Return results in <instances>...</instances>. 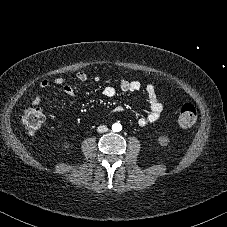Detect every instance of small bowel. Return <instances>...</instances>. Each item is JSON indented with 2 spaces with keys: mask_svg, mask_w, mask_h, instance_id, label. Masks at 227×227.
<instances>
[{
  "mask_svg": "<svg viewBox=\"0 0 227 227\" xmlns=\"http://www.w3.org/2000/svg\"><path fill=\"white\" fill-rule=\"evenodd\" d=\"M77 79L80 82H86L88 80V75L84 72H80L77 75ZM95 81H98V77H95ZM51 84L58 86V90L62 94L72 99H76L77 97L76 89L71 85L66 84L63 78L59 77V78H54L53 80L44 79L40 82V86L42 88H47ZM142 89L146 92L148 96V101L150 104L149 114L145 117H140L137 119V124L141 127H144L150 123L156 122L160 118L161 113L163 111V105L157 96L156 88L154 85L152 84L144 85L139 80H128L123 78L117 84H110L105 86L103 89V94L106 97H112L118 91L137 92ZM41 100H42L41 95L36 94L32 99V104L34 106H37L41 103ZM51 117L52 119H55V116L52 115Z\"/></svg>",
  "mask_w": 227,
  "mask_h": 227,
  "instance_id": "1",
  "label": "small bowel"
}]
</instances>
